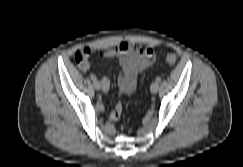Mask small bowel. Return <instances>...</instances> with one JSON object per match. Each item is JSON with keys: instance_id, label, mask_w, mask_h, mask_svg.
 Listing matches in <instances>:
<instances>
[{"instance_id": "1", "label": "small bowel", "mask_w": 243, "mask_h": 167, "mask_svg": "<svg viewBox=\"0 0 243 167\" xmlns=\"http://www.w3.org/2000/svg\"><path fill=\"white\" fill-rule=\"evenodd\" d=\"M90 55L101 58L118 57L120 74L118 78V85L121 94H130L134 91L139 74L152 65L156 58V50L150 45L135 44L131 45L126 42H121L116 48L97 51L90 49ZM82 70L89 69V62L85 61L79 63ZM102 91L107 93L110 89V81L104 77L101 81ZM122 113L121 104H117L109 113V120L116 121Z\"/></svg>"}]
</instances>
